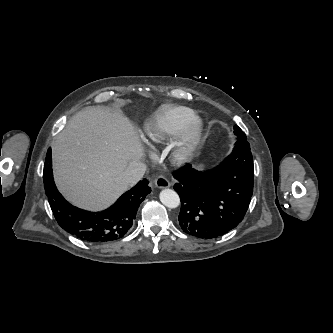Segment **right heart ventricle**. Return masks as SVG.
Returning a JSON list of instances; mask_svg holds the SVG:
<instances>
[{"mask_svg":"<svg viewBox=\"0 0 333 333\" xmlns=\"http://www.w3.org/2000/svg\"><path fill=\"white\" fill-rule=\"evenodd\" d=\"M196 116L189 107L172 105L164 107L158 116L146 127L145 133L153 144L163 143L177 136L183 127Z\"/></svg>","mask_w":333,"mask_h":333,"instance_id":"obj_1","label":"right heart ventricle"}]
</instances>
